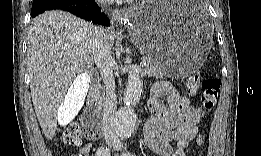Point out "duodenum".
I'll list each match as a JSON object with an SVG mask.
<instances>
[{
    "label": "duodenum",
    "mask_w": 261,
    "mask_h": 156,
    "mask_svg": "<svg viewBox=\"0 0 261 156\" xmlns=\"http://www.w3.org/2000/svg\"><path fill=\"white\" fill-rule=\"evenodd\" d=\"M97 78L95 81L97 82ZM101 101L96 93H93L89 100V109L85 112L84 122L89 125L94 120V117L101 112Z\"/></svg>",
    "instance_id": "410a0bca"
}]
</instances>
